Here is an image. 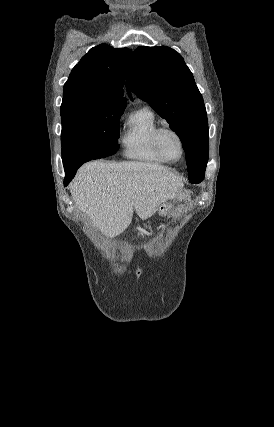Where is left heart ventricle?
I'll return each mask as SVG.
<instances>
[{"label":"left heart ventricle","mask_w":274,"mask_h":427,"mask_svg":"<svg viewBox=\"0 0 274 427\" xmlns=\"http://www.w3.org/2000/svg\"><path fill=\"white\" fill-rule=\"evenodd\" d=\"M162 148L170 159L174 161H178L180 159L182 149L178 138L174 134L169 132L163 134Z\"/></svg>","instance_id":"obj_1"}]
</instances>
